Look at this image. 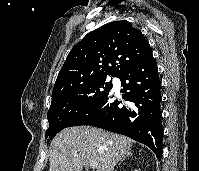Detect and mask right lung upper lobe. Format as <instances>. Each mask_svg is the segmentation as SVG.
<instances>
[{"mask_svg": "<svg viewBox=\"0 0 199 171\" xmlns=\"http://www.w3.org/2000/svg\"><path fill=\"white\" fill-rule=\"evenodd\" d=\"M151 56L149 42L131 23L121 20L105 24L73 46L56 79L52 102L86 82L118 76Z\"/></svg>", "mask_w": 199, "mask_h": 171, "instance_id": "obj_1", "label": "right lung upper lobe"}]
</instances>
